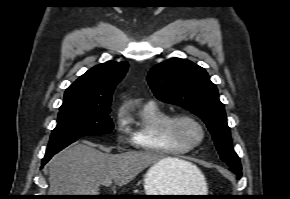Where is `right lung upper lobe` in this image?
<instances>
[{
	"mask_svg": "<svg viewBox=\"0 0 290 199\" xmlns=\"http://www.w3.org/2000/svg\"><path fill=\"white\" fill-rule=\"evenodd\" d=\"M127 69V62L108 61L94 66L66 89L60 108L110 106L114 88Z\"/></svg>",
	"mask_w": 290,
	"mask_h": 199,
	"instance_id": "1",
	"label": "right lung upper lobe"
}]
</instances>
